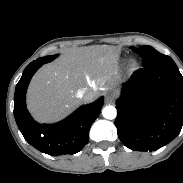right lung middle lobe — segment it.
<instances>
[{
  "label": "right lung middle lobe",
  "instance_id": "dd1d6c3e",
  "mask_svg": "<svg viewBox=\"0 0 183 183\" xmlns=\"http://www.w3.org/2000/svg\"><path fill=\"white\" fill-rule=\"evenodd\" d=\"M56 57H57V55L56 56H45V57H41V58H39L37 60H45V63H48V62H51Z\"/></svg>",
  "mask_w": 183,
  "mask_h": 183
}]
</instances>
